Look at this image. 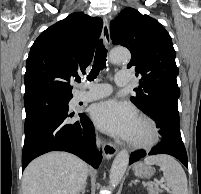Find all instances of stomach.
<instances>
[{
	"instance_id": "obj_1",
	"label": "stomach",
	"mask_w": 201,
	"mask_h": 194,
	"mask_svg": "<svg viewBox=\"0 0 201 194\" xmlns=\"http://www.w3.org/2000/svg\"><path fill=\"white\" fill-rule=\"evenodd\" d=\"M133 170L137 177L144 179H149L154 174V169L143 163L135 164Z\"/></svg>"
}]
</instances>
